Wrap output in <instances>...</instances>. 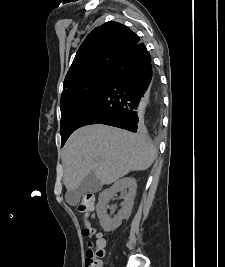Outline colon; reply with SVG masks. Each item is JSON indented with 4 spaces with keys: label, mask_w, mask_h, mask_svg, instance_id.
Returning a JSON list of instances; mask_svg holds the SVG:
<instances>
[{
    "label": "colon",
    "mask_w": 225,
    "mask_h": 267,
    "mask_svg": "<svg viewBox=\"0 0 225 267\" xmlns=\"http://www.w3.org/2000/svg\"><path fill=\"white\" fill-rule=\"evenodd\" d=\"M94 204L95 199L93 195L89 194L78 205V210L85 223L82 228V235L89 240V249L84 263L85 267H102V258L104 256V241L89 222V213L94 209ZM94 238L95 241H93Z\"/></svg>",
    "instance_id": "5ec220e1"
}]
</instances>
